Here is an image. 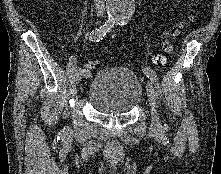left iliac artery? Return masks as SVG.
I'll list each match as a JSON object with an SVG mask.
<instances>
[{"label":"left iliac artery","mask_w":221,"mask_h":174,"mask_svg":"<svg viewBox=\"0 0 221 174\" xmlns=\"http://www.w3.org/2000/svg\"><path fill=\"white\" fill-rule=\"evenodd\" d=\"M144 73L145 75L155 84H158V78L157 75L155 74V72L151 69V68H144ZM166 126V125H165Z\"/></svg>","instance_id":"44dca946"}]
</instances>
